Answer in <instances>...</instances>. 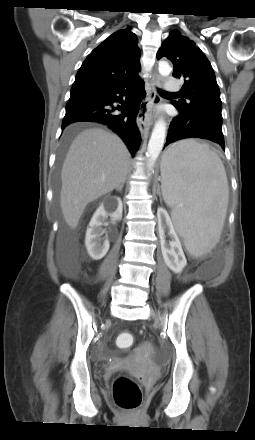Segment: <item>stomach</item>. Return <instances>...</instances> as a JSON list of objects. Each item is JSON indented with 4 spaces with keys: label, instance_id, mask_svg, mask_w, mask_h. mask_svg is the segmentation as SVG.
Here are the masks:
<instances>
[{
    "label": "stomach",
    "instance_id": "1",
    "mask_svg": "<svg viewBox=\"0 0 255 440\" xmlns=\"http://www.w3.org/2000/svg\"><path fill=\"white\" fill-rule=\"evenodd\" d=\"M167 162V151L165 152L163 159H162V163H166Z\"/></svg>",
    "mask_w": 255,
    "mask_h": 440
}]
</instances>
